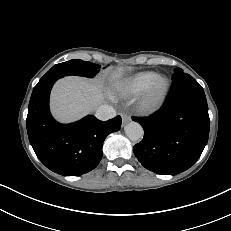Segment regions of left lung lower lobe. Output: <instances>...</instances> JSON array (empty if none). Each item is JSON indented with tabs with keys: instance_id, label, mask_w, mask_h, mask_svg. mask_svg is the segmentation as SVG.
<instances>
[{
	"instance_id": "0a47b994",
	"label": "left lung lower lobe",
	"mask_w": 231,
	"mask_h": 231,
	"mask_svg": "<svg viewBox=\"0 0 231 231\" xmlns=\"http://www.w3.org/2000/svg\"><path fill=\"white\" fill-rule=\"evenodd\" d=\"M144 129L133 147L139 162L157 174L176 175L198 160L207 144L210 120L203 88L186 73L173 75L163 106L147 118H133Z\"/></svg>"
}]
</instances>
